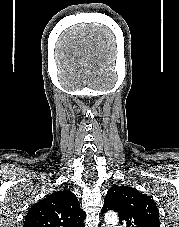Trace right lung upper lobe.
Segmentation results:
<instances>
[{"label": "right lung upper lobe", "instance_id": "right-lung-upper-lobe-1", "mask_svg": "<svg viewBox=\"0 0 179 227\" xmlns=\"http://www.w3.org/2000/svg\"><path fill=\"white\" fill-rule=\"evenodd\" d=\"M85 217L77 197L64 189L34 204L25 217L23 227H84Z\"/></svg>", "mask_w": 179, "mask_h": 227}]
</instances>
